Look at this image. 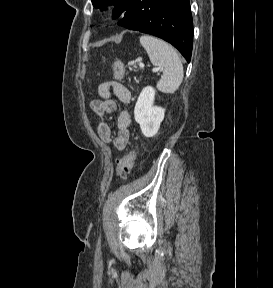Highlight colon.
Instances as JSON below:
<instances>
[{"mask_svg": "<svg viewBox=\"0 0 273 288\" xmlns=\"http://www.w3.org/2000/svg\"><path fill=\"white\" fill-rule=\"evenodd\" d=\"M113 75L115 79L120 80L124 76V66L120 61H116L113 64ZM136 157L135 151L131 150L125 153L122 157L117 160L116 163V175L119 178H124L127 173L131 170L134 160Z\"/></svg>", "mask_w": 273, "mask_h": 288, "instance_id": "1", "label": "colon"}]
</instances>
